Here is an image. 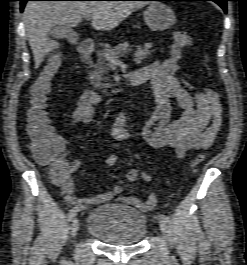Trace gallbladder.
I'll return each mask as SVG.
<instances>
[{
  "mask_svg": "<svg viewBox=\"0 0 247 265\" xmlns=\"http://www.w3.org/2000/svg\"><path fill=\"white\" fill-rule=\"evenodd\" d=\"M71 32V29H69L68 27L55 26L50 30L49 34L55 39H63Z\"/></svg>",
  "mask_w": 247,
  "mask_h": 265,
  "instance_id": "gallbladder-1",
  "label": "gallbladder"
}]
</instances>
